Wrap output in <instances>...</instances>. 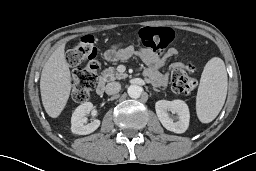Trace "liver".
I'll return each instance as SVG.
<instances>
[{
	"mask_svg": "<svg viewBox=\"0 0 256 171\" xmlns=\"http://www.w3.org/2000/svg\"><path fill=\"white\" fill-rule=\"evenodd\" d=\"M65 44L60 45L44 64L40 91L46 113L57 118L65 108L71 91V75L65 59Z\"/></svg>",
	"mask_w": 256,
	"mask_h": 171,
	"instance_id": "6515ba94",
	"label": "liver"
}]
</instances>
